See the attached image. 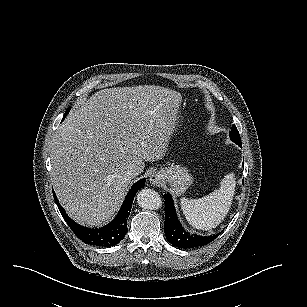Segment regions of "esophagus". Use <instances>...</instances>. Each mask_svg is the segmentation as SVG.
<instances>
[{
  "label": "esophagus",
  "instance_id": "1",
  "mask_svg": "<svg viewBox=\"0 0 307 307\" xmlns=\"http://www.w3.org/2000/svg\"><path fill=\"white\" fill-rule=\"evenodd\" d=\"M163 181V173L156 171L150 176V183L153 185H160Z\"/></svg>",
  "mask_w": 307,
  "mask_h": 307
}]
</instances>
